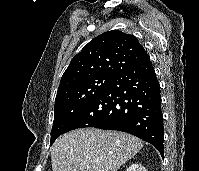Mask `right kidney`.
<instances>
[{
    "mask_svg": "<svg viewBox=\"0 0 199 171\" xmlns=\"http://www.w3.org/2000/svg\"><path fill=\"white\" fill-rule=\"evenodd\" d=\"M126 171H147V170L141 164L135 163V164H132L131 166H129V168H127Z\"/></svg>",
    "mask_w": 199,
    "mask_h": 171,
    "instance_id": "right-kidney-1",
    "label": "right kidney"
}]
</instances>
